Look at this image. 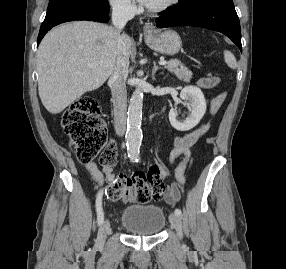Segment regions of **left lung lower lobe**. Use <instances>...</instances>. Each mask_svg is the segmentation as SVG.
I'll return each instance as SVG.
<instances>
[{
	"label": "left lung lower lobe",
	"instance_id": "left-lung-lower-lobe-1",
	"mask_svg": "<svg viewBox=\"0 0 286 269\" xmlns=\"http://www.w3.org/2000/svg\"><path fill=\"white\" fill-rule=\"evenodd\" d=\"M162 13L156 20L159 28L196 26L219 31L242 51L240 22L233 2H203L185 9L170 7Z\"/></svg>",
	"mask_w": 286,
	"mask_h": 269
}]
</instances>
